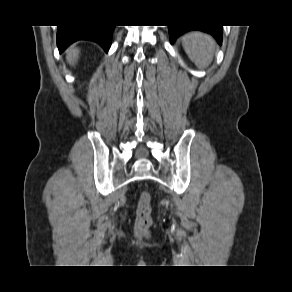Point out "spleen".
Instances as JSON below:
<instances>
[{"label":"spleen","instance_id":"obj_1","mask_svg":"<svg viewBox=\"0 0 292 292\" xmlns=\"http://www.w3.org/2000/svg\"><path fill=\"white\" fill-rule=\"evenodd\" d=\"M183 48L198 68H204L210 63L215 50L213 38L198 31L183 36Z\"/></svg>","mask_w":292,"mask_h":292}]
</instances>
